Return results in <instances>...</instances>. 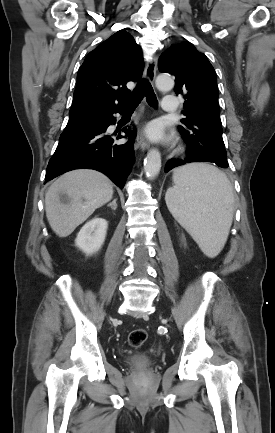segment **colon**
I'll return each mask as SVG.
<instances>
[{"mask_svg": "<svg viewBox=\"0 0 275 433\" xmlns=\"http://www.w3.org/2000/svg\"><path fill=\"white\" fill-rule=\"evenodd\" d=\"M147 339V332L144 329L133 330L128 337V343L133 349H139Z\"/></svg>", "mask_w": 275, "mask_h": 433, "instance_id": "colon-1", "label": "colon"}]
</instances>
